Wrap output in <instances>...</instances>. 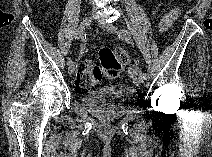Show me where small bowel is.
<instances>
[{
    "mask_svg": "<svg viewBox=\"0 0 212 157\" xmlns=\"http://www.w3.org/2000/svg\"><path fill=\"white\" fill-rule=\"evenodd\" d=\"M176 16H177V11H172V12L166 14V15L163 17L162 21H161V29H162L163 31L168 30V29L170 28V26L172 25L173 21L175 20ZM87 52H88V49H87L86 47L83 46V47L81 48V54H85V53H87ZM88 64H89V62H88L87 60H84V61L80 64V67L84 68V67H86ZM136 72H137V71H136L135 69H134V70H131V71H130V76H131L132 78H135Z\"/></svg>",
    "mask_w": 212,
    "mask_h": 157,
    "instance_id": "1",
    "label": "small bowel"
}]
</instances>
